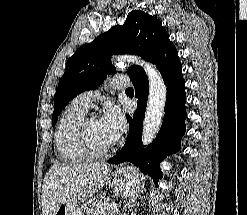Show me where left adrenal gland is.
I'll list each match as a JSON object with an SVG mask.
<instances>
[{"label":"left adrenal gland","instance_id":"a2214340","mask_svg":"<svg viewBox=\"0 0 247 215\" xmlns=\"http://www.w3.org/2000/svg\"><path fill=\"white\" fill-rule=\"evenodd\" d=\"M136 205V197L132 198L130 201V207H134Z\"/></svg>","mask_w":247,"mask_h":215}]
</instances>
